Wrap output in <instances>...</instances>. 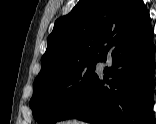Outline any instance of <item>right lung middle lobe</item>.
Instances as JSON below:
<instances>
[{
  "instance_id": "dd1d6c3e",
  "label": "right lung middle lobe",
  "mask_w": 156,
  "mask_h": 124,
  "mask_svg": "<svg viewBox=\"0 0 156 124\" xmlns=\"http://www.w3.org/2000/svg\"><path fill=\"white\" fill-rule=\"evenodd\" d=\"M93 59L63 67L34 81L30 100L33 117L40 124H54L88 89L96 78Z\"/></svg>"
}]
</instances>
